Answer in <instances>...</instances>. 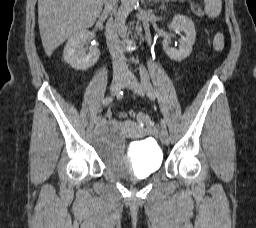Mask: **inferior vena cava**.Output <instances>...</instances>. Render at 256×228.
<instances>
[{"instance_id":"obj_1","label":"inferior vena cava","mask_w":256,"mask_h":228,"mask_svg":"<svg viewBox=\"0 0 256 228\" xmlns=\"http://www.w3.org/2000/svg\"><path fill=\"white\" fill-rule=\"evenodd\" d=\"M118 0H103L105 8L104 11L109 13L115 9ZM106 42L111 54L113 71L114 74H126L128 66L122 48L120 46V41L118 38V29L116 21L109 20L106 24Z\"/></svg>"}]
</instances>
